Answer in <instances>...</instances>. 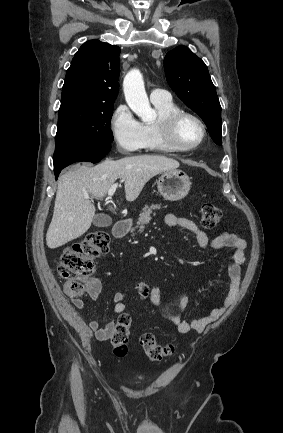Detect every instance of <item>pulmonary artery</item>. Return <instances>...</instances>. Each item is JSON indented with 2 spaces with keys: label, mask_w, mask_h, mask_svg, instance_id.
Wrapping results in <instances>:
<instances>
[{
  "label": "pulmonary artery",
  "mask_w": 283,
  "mask_h": 433,
  "mask_svg": "<svg viewBox=\"0 0 283 433\" xmlns=\"http://www.w3.org/2000/svg\"><path fill=\"white\" fill-rule=\"evenodd\" d=\"M149 98L152 103L170 100L169 92L161 89H152L149 93Z\"/></svg>",
  "instance_id": "e3ab8cb5"
}]
</instances>
